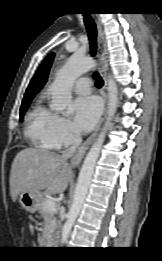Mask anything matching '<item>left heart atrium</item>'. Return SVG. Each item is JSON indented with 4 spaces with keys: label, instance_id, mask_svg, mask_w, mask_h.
<instances>
[{
    "label": "left heart atrium",
    "instance_id": "left-heart-atrium-1",
    "mask_svg": "<svg viewBox=\"0 0 162 261\" xmlns=\"http://www.w3.org/2000/svg\"><path fill=\"white\" fill-rule=\"evenodd\" d=\"M73 120L77 130L90 131L100 114V103L94 96L79 97L73 102Z\"/></svg>",
    "mask_w": 162,
    "mask_h": 261
}]
</instances>
